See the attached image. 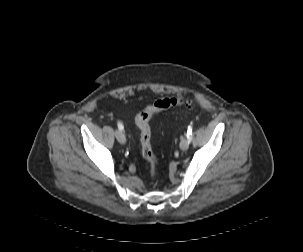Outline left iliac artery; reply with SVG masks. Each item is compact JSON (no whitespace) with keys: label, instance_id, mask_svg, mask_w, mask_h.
Segmentation results:
<instances>
[{"label":"left iliac artery","instance_id":"obj_1","mask_svg":"<svg viewBox=\"0 0 303 252\" xmlns=\"http://www.w3.org/2000/svg\"><path fill=\"white\" fill-rule=\"evenodd\" d=\"M187 138L189 139V141L192 140V125H189V126H188Z\"/></svg>","mask_w":303,"mask_h":252}]
</instances>
